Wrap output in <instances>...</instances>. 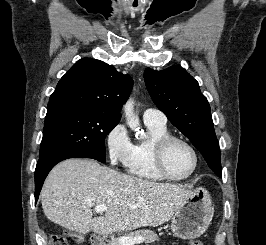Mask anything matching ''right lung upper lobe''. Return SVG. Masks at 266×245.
Returning <instances> with one entry per match:
<instances>
[{"label":"right lung upper lobe","instance_id":"obj_1","mask_svg":"<svg viewBox=\"0 0 266 245\" xmlns=\"http://www.w3.org/2000/svg\"><path fill=\"white\" fill-rule=\"evenodd\" d=\"M132 86V78L116 71L113 66L83 58L57 84L50 96L46 116L74 109H90L121 117L119 112Z\"/></svg>","mask_w":266,"mask_h":245}]
</instances>
